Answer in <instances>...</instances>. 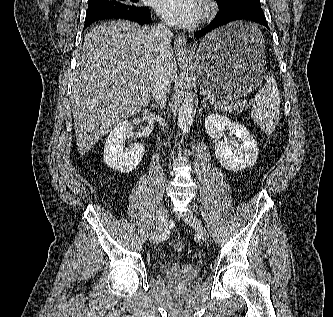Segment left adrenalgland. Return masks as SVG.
<instances>
[{"label":"left adrenal gland","mask_w":333,"mask_h":317,"mask_svg":"<svg viewBox=\"0 0 333 317\" xmlns=\"http://www.w3.org/2000/svg\"><path fill=\"white\" fill-rule=\"evenodd\" d=\"M204 108H208L207 103H206V100H203V106H202V109H204Z\"/></svg>","instance_id":"1"}]
</instances>
